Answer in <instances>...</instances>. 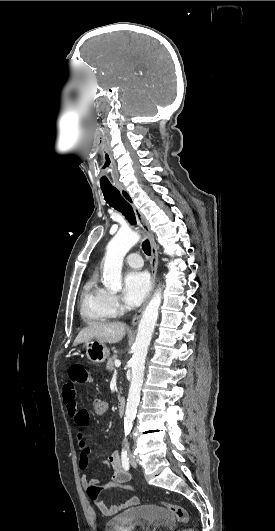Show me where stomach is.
Returning <instances> with one entry per match:
<instances>
[{"instance_id":"0dacf381","label":"stomach","mask_w":275,"mask_h":531,"mask_svg":"<svg viewBox=\"0 0 275 531\" xmlns=\"http://www.w3.org/2000/svg\"><path fill=\"white\" fill-rule=\"evenodd\" d=\"M86 357L93 363V365H99L104 363L108 359L110 353L105 343H100L97 339H91L85 343ZM70 358L73 361H78L81 358V353L78 350H73L70 353Z\"/></svg>"}]
</instances>
